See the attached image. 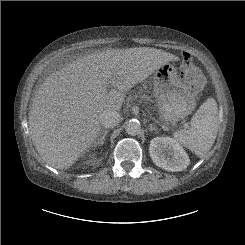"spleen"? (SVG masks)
I'll list each match as a JSON object with an SVG mask.
<instances>
[{"instance_id":"spleen-1","label":"spleen","mask_w":245,"mask_h":245,"mask_svg":"<svg viewBox=\"0 0 245 245\" xmlns=\"http://www.w3.org/2000/svg\"><path fill=\"white\" fill-rule=\"evenodd\" d=\"M218 131V107L208 98L192 116L189 129L173 133V139L198 156L205 155L213 146Z\"/></svg>"}]
</instances>
